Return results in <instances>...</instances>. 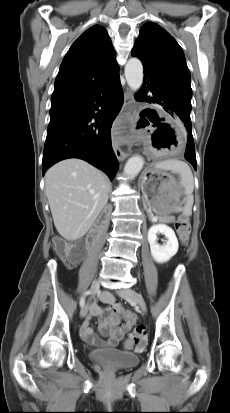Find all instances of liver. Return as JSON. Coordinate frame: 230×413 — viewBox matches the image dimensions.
<instances>
[{
    "label": "liver",
    "mask_w": 230,
    "mask_h": 413,
    "mask_svg": "<svg viewBox=\"0 0 230 413\" xmlns=\"http://www.w3.org/2000/svg\"><path fill=\"white\" fill-rule=\"evenodd\" d=\"M106 176L80 159L63 160L45 174L54 225L68 241L83 237L108 201Z\"/></svg>",
    "instance_id": "6515ba94"
}]
</instances>
